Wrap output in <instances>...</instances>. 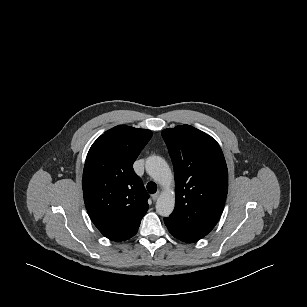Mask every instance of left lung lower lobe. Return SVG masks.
<instances>
[{"instance_id": "left-lung-lower-lobe-1", "label": "left lung lower lobe", "mask_w": 307, "mask_h": 307, "mask_svg": "<svg viewBox=\"0 0 307 307\" xmlns=\"http://www.w3.org/2000/svg\"><path fill=\"white\" fill-rule=\"evenodd\" d=\"M164 222L169 230V232L177 239L187 242V243H192L195 241H198L199 238H196L192 235L187 234L186 232L182 231L179 229L177 226H175L171 221H169L167 218L164 219Z\"/></svg>"}]
</instances>
